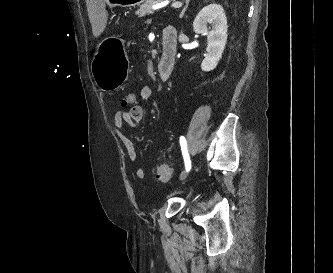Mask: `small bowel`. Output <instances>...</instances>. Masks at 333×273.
Here are the masks:
<instances>
[{
	"mask_svg": "<svg viewBox=\"0 0 333 273\" xmlns=\"http://www.w3.org/2000/svg\"><path fill=\"white\" fill-rule=\"evenodd\" d=\"M152 96V89L149 86H143L140 89V97L144 100L150 99ZM130 106V105H129ZM144 118V110L143 108L137 104L135 108H130L128 111L125 109H119L113 121L114 131L123 144L128 159L134 165V175L137 179H143L145 177V171L142 167L136 165V148L133 141L124 133L125 124H129L131 126H136L141 123Z\"/></svg>",
	"mask_w": 333,
	"mask_h": 273,
	"instance_id": "small-bowel-1",
	"label": "small bowel"
}]
</instances>
